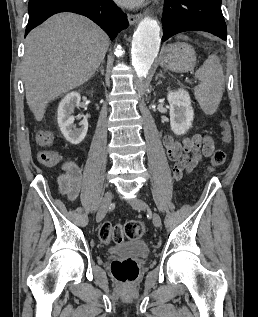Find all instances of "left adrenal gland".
Here are the masks:
<instances>
[{
	"mask_svg": "<svg viewBox=\"0 0 258 317\" xmlns=\"http://www.w3.org/2000/svg\"><path fill=\"white\" fill-rule=\"evenodd\" d=\"M158 76H162V78H165L162 70H160V72H158V74H156V76H155L156 80H157Z\"/></svg>",
	"mask_w": 258,
	"mask_h": 317,
	"instance_id": "a2214340",
	"label": "left adrenal gland"
}]
</instances>
